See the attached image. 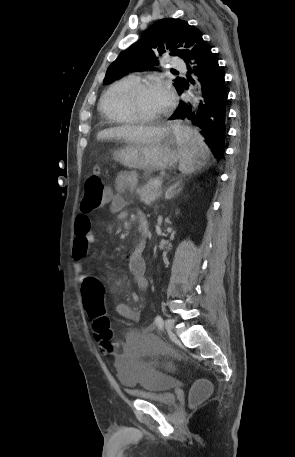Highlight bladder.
<instances>
[{
	"label": "bladder",
	"mask_w": 295,
	"mask_h": 457,
	"mask_svg": "<svg viewBox=\"0 0 295 457\" xmlns=\"http://www.w3.org/2000/svg\"><path fill=\"white\" fill-rule=\"evenodd\" d=\"M122 358L115 364V373L122 386L127 388L137 398L148 400L162 406L170 407L176 404V396L171 391V383L176 381L174 374H162L156 356L149 358L151 366L144 363L143 354H162L159 357L164 361H176L178 355L172 352L171 345H162L161 342H140L139 345H126Z\"/></svg>",
	"instance_id": "obj_1"
}]
</instances>
